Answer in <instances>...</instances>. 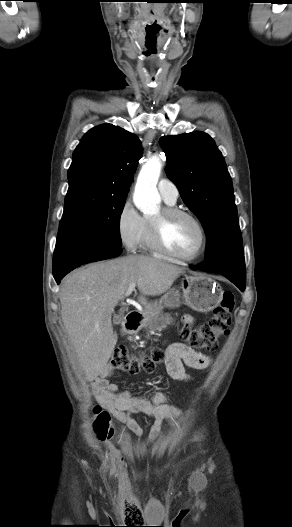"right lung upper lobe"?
Returning a JSON list of instances; mask_svg holds the SVG:
<instances>
[{
    "mask_svg": "<svg viewBox=\"0 0 292 527\" xmlns=\"http://www.w3.org/2000/svg\"><path fill=\"white\" fill-rule=\"evenodd\" d=\"M142 154L138 137L112 124L89 130L73 153L69 186L127 195Z\"/></svg>",
    "mask_w": 292,
    "mask_h": 527,
    "instance_id": "1",
    "label": "right lung upper lobe"
}]
</instances>
